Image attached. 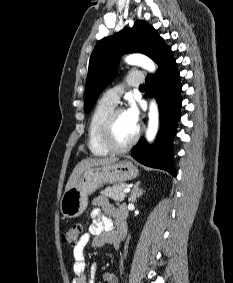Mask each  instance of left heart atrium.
I'll use <instances>...</instances> for the list:
<instances>
[{"instance_id":"obj_1","label":"left heart atrium","mask_w":233,"mask_h":283,"mask_svg":"<svg viewBox=\"0 0 233 283\" xmlns=\"http://www.w3.org/2000/svg\"><path fill=\"white\" fill-rule=\"evenodd\" d=\"M125 113L127 114V116L129 117V119L131 120V122L133 124H135L136 126H138V122H139V110L137 105L134 102H130L128 108L125 110Z\"/></svg>"}]
</instances>
